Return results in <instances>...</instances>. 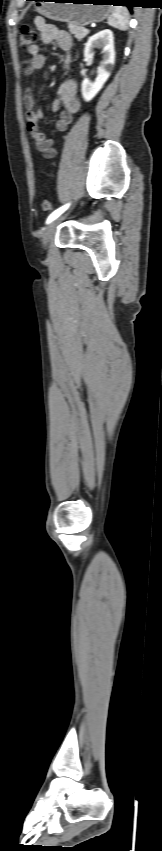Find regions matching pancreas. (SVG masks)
<instances>
[{
    "instance_id": "pancreas-1",
    "label": "pancreas",
    "mask_w": 162,
    "mask_h": 851,
    "mask_svg": "<svg viewBox=\"0 0 162 851\" xmlns=\"http://www.w3.org/2000/svg\"><path fill=\"white\" fill-rule=\"evenodd\" d=\"M68 28H69V32L71 34H73L75 36V38L79 41H81L83 38H85L87 36V34L89 33V31L88 32L84 31V29H85L84 27L77 26V25L72 24V23L68 24Z\"/></svg>"
}]
</instances>
